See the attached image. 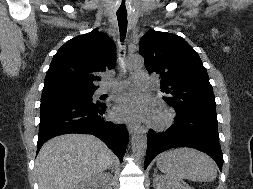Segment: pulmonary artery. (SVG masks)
<instances>
[{"label": "pulmonary artery", "instance_id": "pulmonary-artery-1", "mask_svg": "<svg viewBox=\"0 0 253 189\" xmlns=\"http://www.w3.org/2000/svg\"><path fill=\"white\" fill-rule=\"evenodd\" d=\"M134 80L136 84L140 86H148L150 82V77L146 73H138L135 74ZM125 84V81H120V82H110L106 81L104 84L99 88L97 91V94L103 95L106 94L112 90H119L121 89Z\"/></svg>", "mask_w": 253, "mask_h": 189}]
</instances>
